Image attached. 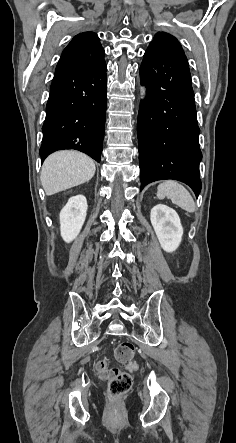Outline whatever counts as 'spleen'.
<instances>
[{
  "label": "spleen",
  "mask_w": 236,
  "mask_h": 443,
  "mask_svg": "<svg viewBox=\"0 0 236 443\" xmlns=\"http://www.w3.org/2000/svg\"><path fill=\"white\" fill-rule=\"evenodd\" d=\"M157 197L159 199L167 197L172 203L183 210L189 213L195 212L196 207L191 194L184 186L176 181L167 180L159 184L157 187Z\"/></svg>",
  "instance_id": "spleen-1"
}]
</instances>
